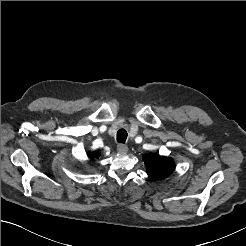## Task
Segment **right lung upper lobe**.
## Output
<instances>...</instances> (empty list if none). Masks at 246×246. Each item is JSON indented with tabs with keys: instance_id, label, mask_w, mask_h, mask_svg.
<instances>
[{
	"instance_id": "right-lung-upper-lobe-1",
	"label": "right lung upper lobe",
	"mask_w": 246,
	"mask_h": 246,
	"mask_svg": "<svg viewBox=\"0 0 246 246\" xmlns=\"http://www.w3.org/2000/svg\"><path fill=\"white\" fill-rule=\"evenodd\" d=\"M93 156L94 157H98V156H100V153L98 151H96V152L93 153Z\"/></svg>"
}]
</instances>
